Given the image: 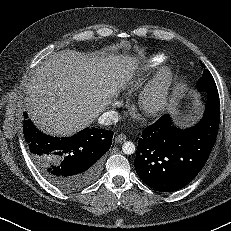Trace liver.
Instances as JSON below:
<instances>
[{"instance_id":"1","label":"liver","mask_w":231,"mask_h":231,"mask_svg":"<svg viewBox=\"0 0 231 231\" xmlns=\"http://www.w3.org/2000/svg\"><path fill=\"white\" fill-rule=\"evenodd\" d=\"M138 61L102 51L63 50L36 67L26 109L44 132L71 135L90 125L133 78Z\"/></svg>"}]
</instances>
